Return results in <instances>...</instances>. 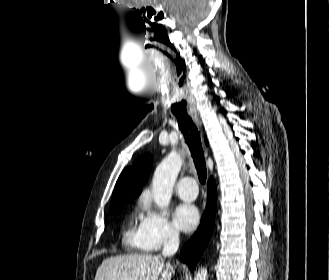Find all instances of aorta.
I'll use <instances>...</instances> for the list:
<instances>
[{"label":"aorta","mask_w":329,"mask_h":280,"mask_svg":"<svg viewBox=\"0 0 329 280\" xmlns=\"http://www.w3.org/2000/svg\"><path fill=\"white\" fill-rule=\"evenodd\" d=\"M182 167V159L176 151H172L156 168L152 180V194L157 206L166 213L171 201L173 188ZM194 280H207V269H199Z\"/></svg>","instance_id":"762f6f07"}]
</instances>
